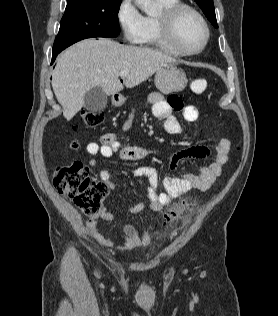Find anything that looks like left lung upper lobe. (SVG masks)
Returning a JSON list of instances; mask_svg holds the SVG:
<instances>
[{
    "instance_id": "left-lung-upper-lobe-1",
    "label": "left lung upper lobe",
    "mask_w": 278,
    "mask_h": 316,
    "mask_svg": "<svg viewBox=\"0 0 278 316\" xmlns=\"http://www.w3.org/2000/svg\"><path fill=\"white\" fill-rule=\"evenodd\" d=\"M195 1L200 6V8L204 12L205 16L212 23V25L215 28H218L217 21H216V15H215V11H214L213 0H195Z\"/></svg>"
}]
</instances>
